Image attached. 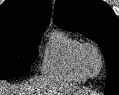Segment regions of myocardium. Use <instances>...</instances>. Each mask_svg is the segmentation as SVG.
<instances>
[{
	"label": "myocardium",
	"mask_w": 119,
	"mask_h": 95,
	"mask_svg": "<svg viewBox=\"0 0 119 95\" xmlns=\"http://www.w3.org/2000/svg\"><path fill=\"white\" fill-rule=\"evenodd\" d=\"M86 49H92L98 56L100 61L99 70L96 73H90L83 63V53ZM74 62L77 67V69L86 77V78H94L101 74L104 68V56L100 50V48L92 43V42H81L74 53Z\"/></svg>",
	"instance_id": "obj_1"
}]
</instances>
